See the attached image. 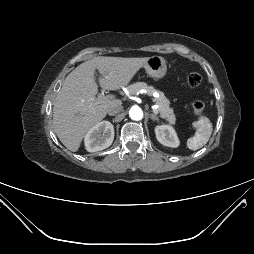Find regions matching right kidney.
<instances>
[{"label": "right kidney", "instance_id": "1", "mask_svg": "<svg viewBox=\"0 0 254 254\" xmlns=\"http://www.w3.org/2000/svg\"><path fill=\"white\" fill-rule=\"evenodd\" d=\"M113 140V125L109 121H101L87 132L84 143L88 152H97L108 148Z\"/></svg>", "mask_w": 254, "mask_h": 254}]
</instances>
